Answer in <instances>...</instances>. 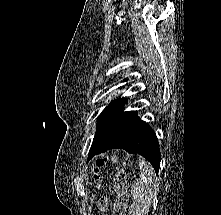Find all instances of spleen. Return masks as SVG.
<instances>
[{
  "label": "spleen",
  "instance_id": "obj_1",
  "mask_svg": "<svg viewBox=\"0 0 221 215\" xmlns=\"http://www.w3.org/2000/svg\"><path fill=\"white\" fill-rule=\"evenodd\" d=\"M139 167V178L131 187V195L133 196L131 212L132 215H147L158 184L153 167L147 161L141 160Z\"/></svg>",
  "mask_w": 221,
  "mask_h": 215
}]
</instances>
